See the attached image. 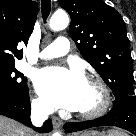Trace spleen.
Masks as SVG:
<instances>
[{"label":"spleen","mask_w":136,"mask_h":136,"mask_svg":"<svg viewBox=\"0 0 136 136\" xmlns=\"http://www.w3.org/2000/svg\"><path fill=\"white\" fill-rule=\"evenodd\" d=\"M109 136H125V135L118 131H110Z\"/></svg>","instance_id":"obj_1"}]
</instances>
